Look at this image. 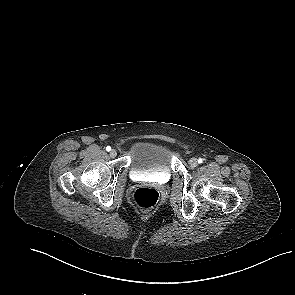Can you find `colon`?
I'll return each mask as SVG.
<instances>
[{"mask_svg":"<svg viewBox=\"0 0 295 295\" xmlns=\"http://www.w3.org/2000/svg\"><path fill=\"white\" fill-rule=\"evenodd\" d=\"M133 201L140 209L149 210L158 203L159 193L154 188H138L133 193Z\"/></svg>","mask_w":295,"mask_h":295,"instance_id":"1","label":"colon"}]
</instances>
